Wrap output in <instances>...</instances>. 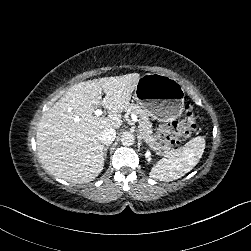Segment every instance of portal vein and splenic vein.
Returning a JSON list of instances; mask_svg holds the SVG:
<instances>
[{"label": "portal vein and splenic vein", "instance_id": "portal-vein-and-splenic-vein-1", "mask_svg": "<svg viewBox=\"0 0 251 251\" xmlns=\"http://www.w3.org/2000/svg\"><path fill=\"white\" fill-rule=\"evenodd\" d=\"M102 113H103V112H102L101 109H96V110H95V114H96L97 116H101ZM131 119H132V121H137V116L134 115V114H131Z\"/></svg>", "mask_w": 251, "mask_h": 251}]
</instances>
